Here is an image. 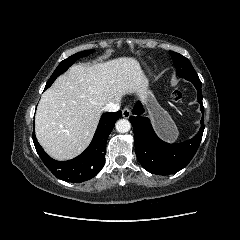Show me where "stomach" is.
Instances as JSON below:
<instances>
[{
	"instance_id": "obj_1",
	"label": "stomach",
	"mask_w": 240,
	"mask_h": 240,
	"mask_svg": "<svg viewBox=\"0 0 240 240\" xmlns=\"http://www.w3.org/2000/svg\"><path fill=\"white\" fill-rule=\"evenodd\" d=\"M144 75V74H143ZM146 84V105L151 116L153 125L159 136L167 141H175L178 137V130L171 117L164 111L153 94L148 89V81L144 75Z\"/></svg>"
}]
</instances>
